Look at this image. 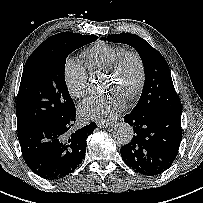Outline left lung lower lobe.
<instances>
[{"label":"left lung lower lobe","mask_w":203,"mask_h":203,"mask_svg":"<svg viewBox=\"0 0 203 203\" xmlns=\"http://www.w3.org/2000/svg\"><path fill=\"white\" fill-rule=\"evenodd\" d=\"M134 129L130 143L121 147L123 161L135 172L154 176L173 163L182 139L181 113L145 116L131 112L124 116Z\"/></svg>","instance_id":"0a47b994"}]
</instances>
